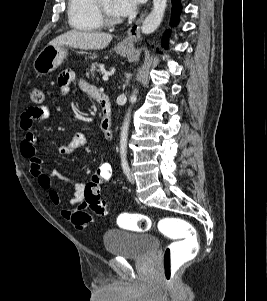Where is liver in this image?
<instances>
[{
	"instance_id": "liver-1",
	"label": "liver",
	"mask_w": 267,
	"mask_h": 301,
	"mask_svg": "<svg viewBox=\"0 0 267 301\" xmlns=\"http://www.w3.org/2000/svg\"><path fill=\"white\" fill-rule=\"evenodd\" d=\"M112 38L113 36L107 33L71 30L50 41L49 45H66L84 50H99L106 48Z\"/></svg>"
}]
</instances>
